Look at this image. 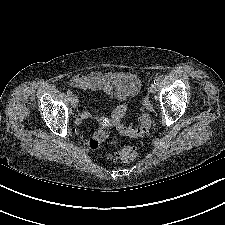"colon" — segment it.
<instances>
[{
  "instance_id": "colon-1",
  "label": "colon",
  "mask_w": 225,
  "mask_h": 225,
  "mask_svg": "<svg viewBox=\"0 0 225 225\" xmlns=\"http://www.w3.org/2000/svg\"><path fill=\"white\" fill-rule=\"evenodd\" d=\"M140 105L143 109V113L140 116L138 125L136 126H125L120 121L119 114L116 116V127L122 135L139 138L149 133L151 128V117L149 113L151 110V105L147 99L142 100ZM102 139H108V135L104 132H99L95 138V144L97 145L98 141ZM110 143L116 144V140L111 139ZM139 150L140 146L138 145H126L123 146L118 152L113 154L112 157L122 162H130L137 157Z\"/></svg>"
}]
</instances>
